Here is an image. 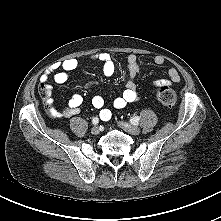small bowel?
Returning <instances> with one entry per match:
<instances>
[{
    "mask_svg": "<svg viewBox=\"0 0 221 221\" xmlns=\"http://www.w3.org/2000/svg\"><path fill=\"white\" fill-rule=\"evenodd\" d=\"M89 60H98L102 63V73L105 77H110L115 72V64L114 61L109 53L101 52L96 53L89 56ZM127 65H128V72H129V79L126 83V88L122 92V94L116 97L113 101V106L116 109H123L129 103L135 102L138 100V93H137V84L135 81V77L139 72V64L137 60V56L135 54H128L126 57ZM164 58L162 56H156L154 58V62L157 65H162L164 63ZM79 66V61L76 58H69L61 62L60 64H55L50 72L44 73L40 77V82L45 85L47 88L50 86L47 84L49 80L50 73L53 74V80L56 84H64L70 78V73L76 70ZM168 79H160L155 82L156 86L159 85H171L178 83L180 81V74L176 68L170 67L167 71ZM51 103V99L49 100ZM83 103L82 95L75 93L73 94L68 102L67 107L61 111L57 112L54 109L50 110L52 115L58 117L69 118L72 116L77 115L80 112V107ZM92 106L95 109L99 110V116L103 121H109L112 117V112L110 109L105 108V101L101 95H96L92 98Z\"/></svg>",
    "mask_w": 221,
    "mask_h": 221,
    "instance_id": "small-bowel-1",
    "label": "small bowel"
}]
</instances>
